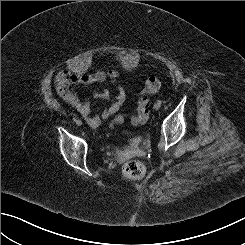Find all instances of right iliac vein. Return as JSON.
Wrapping results in <instances>:
<instances>
[{
  "label": "right iliac vein",
  "mask_w": 245,
  "mask_h": 245,
  "mask_svg": "<svg viewBox=\"0 0 245 245\" xmlns=\"http://www.w3.org/2000/svg\"><path fill=\"white\" fill-rule=\"evenodd\" d=\"M76 124H77L78 126H81V125H82V121H81V120H77Z\"/></svg>",
  "instance_id": "63e3f726"
}]
</instances>
